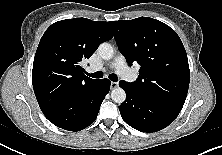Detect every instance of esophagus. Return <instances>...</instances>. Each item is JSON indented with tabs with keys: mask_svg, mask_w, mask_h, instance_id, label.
Here are the masks:
<instances>
[{
	"mask_svg": "<svg viewBox=\"0 0 222 155\" xmlns=\"http://www.w3.org/2000/svg\"><path fill=\"white\" fill-rule=\"evenodd\" d=\"M118 83L117 82H111V89L117 88Z\"/></svg>",
	"mask_w": 222,
	"mask_h": 155,
	"instance_id": "1",
	"label": "esophagus"
}]
</instances>
